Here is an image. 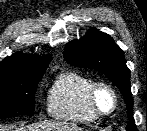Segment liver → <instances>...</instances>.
<instances>
[{
	"label": "liver",
	"mask_w": 147,
	"mask_h": 131,
	"mask_svg": "<svg viewBox=\"0 0 147 131\" xmlns=\"http://www.w3.org/2000/svg\"><path fill=\"white\" fill-rule=\"evenodd\" d=\"M16 131H82V129L66 122H39L18 128Z\"/></svg>",
	"instance_id": "obj_1"
}]
</instances>
